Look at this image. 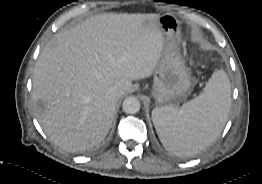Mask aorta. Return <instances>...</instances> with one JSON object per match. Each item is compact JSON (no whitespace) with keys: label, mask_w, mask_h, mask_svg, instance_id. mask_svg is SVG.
Instances as JSON below:
<instances>
[{"label":"aorta","mask_w":262,"mask_h":184,"mask_svg":"<svg viewBox=\"0 0 262 184\" xmlns=\"http://www.w3.org/2000/svg\"><path fill=\"white\" fill-rule=\"evenodd\" d=\"M123 111L127 114H135L140 110V102L136 97H127L122 104Z\"/></svg>","instance_id":"aorta-1"}]
</instances>
